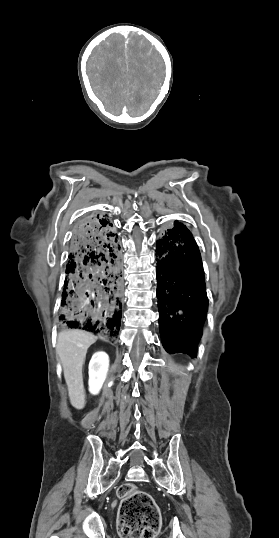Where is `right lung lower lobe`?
Wrapping results in <instances>:
<instances>
[{
  "mask_svg": "<svg viewBox=\"0 0 279 538\" xmlns=\"http://www.w3.org/2000/svg\"><path fill=\"white\" fill-rule=\"evenodd\" d=\"M59 324L94 334L121 324L122 258L118 235L106 215L87 213L70 241Z\"/></svg>",
  "mask_w": 279,
  "mask_h": 538,
  "instance_id": "98d812e1",
  "label": "right lung lower lobe"
}]
</instances>
